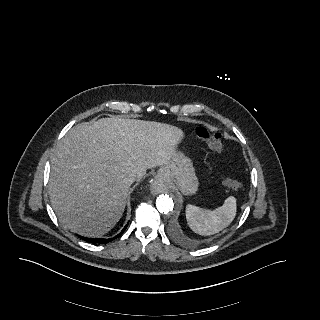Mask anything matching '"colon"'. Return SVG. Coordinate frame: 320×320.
<instances>
[{"label":"colon","mask_w":320,"mask_h":320,"mask_svg":"<svg viewBox=\"0 0 320 320\" xmlns=\"http://www.w3.org/2000/svg\"><path fill=\"white\" fill-rule=\"evenodd\" d=\"M196 134L200 138L204 139L212 150L216 152H220L222 150L223 145H222L221 134L219 132L211 131L204 126H199L196 129ZM223 184L224 186L232 189L239 188L241 185L239 181L231 178H224Z\"/></svg>","instance_id":"1"}]
</instances>
